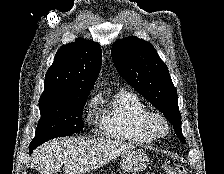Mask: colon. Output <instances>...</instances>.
Here are the masks:
<instances>
[{
	"instance_id": "5ec220e1",
	"label": "colon",
	"mask_w": 224,
	"mask_h": 174,
	"mask_svg": "<svg viewBox=\"0 0 224 174\" xmlns=\"http://www.w3.org/2000/svg\"><path fill=\"white\" fill-rule=\"evenodd\" d=\"M164 173L165 174H183V167L174 161H166L164 163Z\"/></svg>"
}]
</instances>
